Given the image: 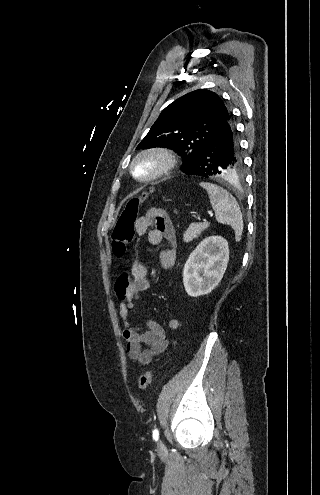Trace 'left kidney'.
Instances as JSON below:
<instances>
[{
    "label": "left kidney",
    "mask_w": 320,
    "mask_h": 495,
    "mask_svg": "<svg viewBox=\"0 0 320 495\" xmlns=\"http://www.w3.org/2000/svg\"><path fill=\"white\" fill-rule=\"evenodd\" d=\"M229 261V246L223 237L205 238L190 254L183 270V284L188 295L210 293L221 281Z\"/></svg>",
    "instance_id": "left-kidney-1"
}]
</instances>
